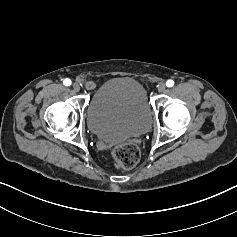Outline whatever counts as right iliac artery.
Returning a JSON list of instances; mask_svg holds the SVG:
<instances>
[{
	"mask_svg": "<svg viewBox=\"0 0 237 237\" xmlns=\"http://www.w3.org/2000/svg\"><path fill=\"white\" fill-rule=\"evenodd\" d=\"M63 84H64L65 86H70V85H71V80L68 79V78H66V79H64Z\"/></svg>",
	"mask_w": 237,
	"mask_h": 237,
	"instance_id": "82829eb1",
	"label": "right iliac artery"
}]
</instances>
